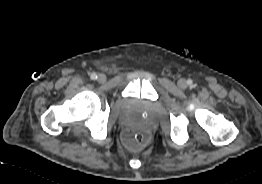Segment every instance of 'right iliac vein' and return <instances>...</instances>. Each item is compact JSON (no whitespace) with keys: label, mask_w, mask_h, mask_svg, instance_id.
<instances>
[{"label":"right iliac vein","mask_w":262,"mask_h":184,"mask_svg":"<svg viewBox=\"0 0 262 184\" xmlns=\"http://www.w3.org/2000/svg\"><path fill=\"white\" fill-rule=\"evenodd\" d=\"M97 79H98V82L103 83L106 80V76L101 73V74L98 75Z\"/></svg>","instance_id":"obj_1"}]
</instances>
